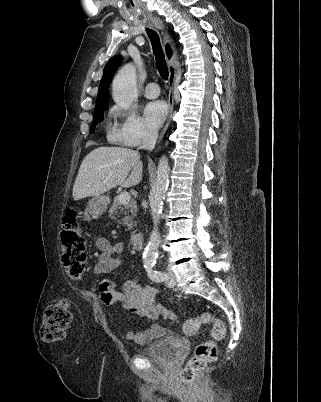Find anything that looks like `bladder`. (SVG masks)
Listing matches in <instances>:
<instances>
[{"mask_svg":"<svg viewBox=\"0 0 321 402\" xmlns=\"http://www.w3.org/2000/svg\"><path fill=\"white\" fill-rule=\"evenodd\" d=\"M181 339L172 333H164V337L141 351V356L162 366H173L180 356Z\"/></svg>","mask_w":321,"mask_h":402,"instance_id":"bladder-1","label":"bladder"}]
</instances>
